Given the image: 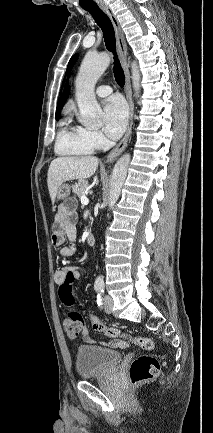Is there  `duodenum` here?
<instances>
[{"mask_svg": "<svg viewBox=\"0 0 213 433\" xmlns=\"http://www.w3.org/2000/svg\"><path fill=\"white\" fill-rule=\"evenodd\" d=\"M86 241L89 245H94L95 243V237L91 232H87L86 234Z\"/></svg>", "mask_w": 213, "mask_h": 433, "instance_id": "duodenum-1", "label": "duodenum"}]
</instances>
